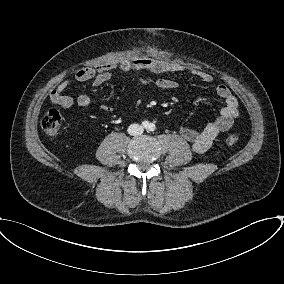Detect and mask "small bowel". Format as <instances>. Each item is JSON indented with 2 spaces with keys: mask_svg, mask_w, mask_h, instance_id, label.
I'll use <instances>...</instances> for the list:
<instances>
[{
  "mask_svg": "<svg viewBox=\"0 0 284 284\" xmlns=\"http://www.w3.org/2000/svg\"><path fill=\"white\" fill-rule=\"evenodd\" d=\"M181 69L182 67L178 64L157 58H135L119 64H101L96 67H83L75 72L74 79L77 82L91 81L94 86H100L111 79L116 70H119L135 74L140 85H153L162 90H173L177 88L175 81L166 78L151 79L142 73H174L181 71ZM195 75L205 83L213 81L212 75L207 72H195ZM68 85L69 80H62L50 93L51 101L63 110H68L74 105L73 98L64 94ZM216 94L224 101V106L220 109L217 118L201 129L182 127L179 130L180 135L191 144L192 151L196 154L206 152L216 137L228 131L239 116L238 100L227 86L223 84L217 85ZM91 102L92 100L87 94H81L76 99L77 105L82 108L89 107Z\"/></svg>",
  "mask_w": 284,
  "mask_h": 284,
  "instance_id": "obj_1",
  "label": "small bowel"
}]
</instances>
